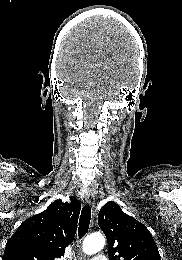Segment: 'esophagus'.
<instances>
[{"label":"esophagus","mask_w":182,"mask_h":260,"mask_svg":"<svg viewBox=\"0 0 182 260\" xmlns=\"http://www.w3.org/2000/svg\"><path fill=\"white\" fill-rule=\"evenodd\" d=\"M85 199L89 205L94 206V194L90 189L85 192Z\"/></svg>","instance_id":"34e87169"}]
</instances>
